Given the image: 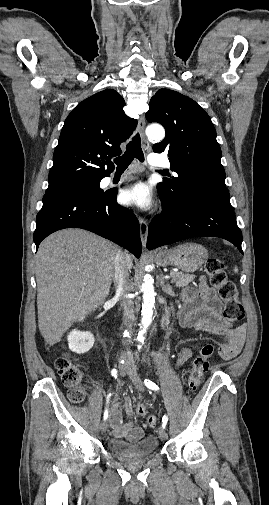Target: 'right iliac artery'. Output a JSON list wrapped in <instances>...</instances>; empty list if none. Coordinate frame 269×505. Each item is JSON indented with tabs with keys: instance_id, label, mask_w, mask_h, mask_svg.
Returning a JSON list of instances; mask_svg holds the SVG:
<instances>
[{
	"instance_id": "1",
	"label": "right iliac artery",
	"mask_w": 269,
	"mask_h": 505,
	"mask_svg": "<svg viewBox=\"0 0 269 505\" xmlns=\"http://www.w3.org/2000/svg\"><path fill=\"white\" fill-rule=\"evenodd\" d=\"M111 375L114 377V378H117V370L116 369H112L111 371ZM111 394L108 395L107 397V402L110 398ZM103 418L104 420H106L108 418V410L106 409L105 412H104V415H103Z\"/></svg>"
}]
</instances>
